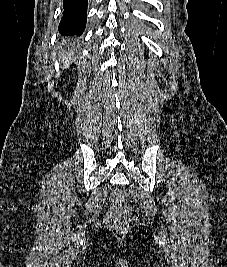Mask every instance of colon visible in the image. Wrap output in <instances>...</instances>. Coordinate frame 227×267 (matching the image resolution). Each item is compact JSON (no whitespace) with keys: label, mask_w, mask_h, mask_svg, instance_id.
<instances>
[{"label":"colon","mask_w":227,"mask_h":267,"mask_svg":"<svg viewBox=\"0 0 227 267\" xmlns=\"http://www.w3.org/2000/svg\"><path fill=\"white\" fill-rule=\"evenodd\" d=\"M110 202L111 208L105 217V225L113 234L124 235L138 223L139 214L127 205V195L123 190H115Z\"/></svg>","instance_id":"5ec220e1"}]
</instances>
